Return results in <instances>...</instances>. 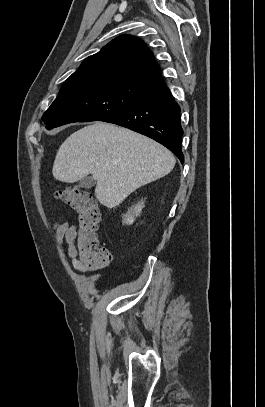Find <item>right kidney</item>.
<instances>
[{
	"mask_svg": "<svg viewBox=\"0 0 265 407\" xmlns=\"http://www.w3.org/2000/svg\"><path fill=\"white\" fill-rule=\"evenodd\" d=\"M144 207V203L138 202L135 206H133V208L131 209V213H129L125 218H124V222L126 224H132L134 222V217L138 216L142 210V208Z\"/></svg>",
	"mask_w": 265,
	"mask_h": 407,
	"instance_id": "ca27d5eb",
	"label": "right kidney"
}]
</instances>
